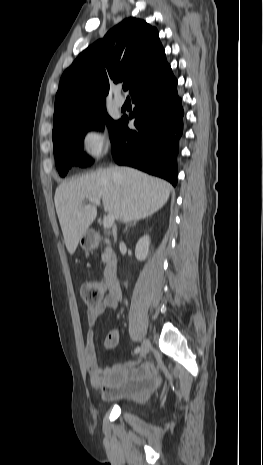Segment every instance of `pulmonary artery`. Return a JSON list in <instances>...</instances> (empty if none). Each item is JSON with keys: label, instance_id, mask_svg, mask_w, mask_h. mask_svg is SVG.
Returning a JSON list of instances; mask_svg holds the SVG:
<instances>
[{"label": "pulmonary artery", "instance_id": "obj_1", "mask_svg": "<svg viewBox=\"0 0 263 465\" xmlns=\"http://www.w3.org/2000/svg\"><path fill=\"white\" fill-rule=\"evenodd\" d=\"M124 103H125V99L120 94H116L114 97L115 106L122 107Z\"/></svg>", "mask_w": 263, "mask_h": 465}]
</instances>
